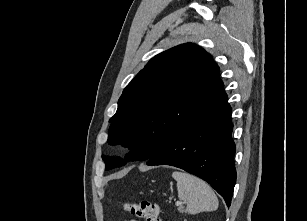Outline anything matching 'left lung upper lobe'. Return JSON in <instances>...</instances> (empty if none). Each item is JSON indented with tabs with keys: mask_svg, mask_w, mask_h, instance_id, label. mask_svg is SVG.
I'll use <instances>...</instances> for the list:
<instances>
[{
	"mask_svg": "<svg viewBox=\"0 0 307 221\" xmlns=\"http://www.w3.org/2000/svg\"><path fill=\"white\" fill-rule=\"evenodd\" d=\"M223 93L219 67L210 54L191 43L173 47L152 58L124 89L109 120L108 142L126 143L133 150L128 160H149ZM102 158L106 170L125 164Z\"/></svg>",
	"mask_w": 307,
	"mask_h": 221,
	"instance_id": "obj_1",
	"label": "left lung upper lobe"
}]
</instances>
